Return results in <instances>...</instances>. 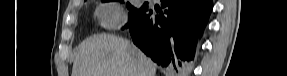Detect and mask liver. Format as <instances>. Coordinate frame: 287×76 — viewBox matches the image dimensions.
<instances>
[{
    "label": "liver",
    "mask_w": 287,
    "mask_h": 76,
    "mask_svg": "<svg viewBox=\"0 0 287 76\" xmlns=\"http://www.w3.org/2000/svg\"><path fill=\"white\" fill-rule=\"evenodd\" d=\"M156 68L128 40L100 34L77 47L71 76H155Z\"/></svg>",
    "instance_id": "1"
}]
</instances>
